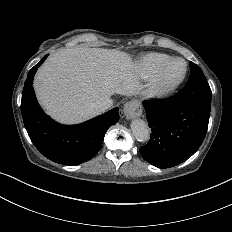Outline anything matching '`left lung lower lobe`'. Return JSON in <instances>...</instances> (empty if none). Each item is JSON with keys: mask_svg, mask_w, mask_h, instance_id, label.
<instances>
[{"mask_svg": "<svg viewBox=\"0 0 232 232\" xmlns=\"http://www.w3.org/2000/svg\"><path fill=\"white\" fill-rule=\"evenodd\" d=\"M152 130L150 141L140 148L144 160L159 168H170L190 158L207 132L210 109L174 95L160 101H144Z\"/></svg>", "mask_w": 232, "mask_h": 232, "instance_id": "0a47b994", "label": "left lung lower lobe"}]
</instances>
